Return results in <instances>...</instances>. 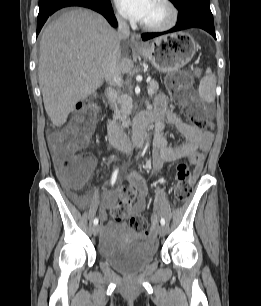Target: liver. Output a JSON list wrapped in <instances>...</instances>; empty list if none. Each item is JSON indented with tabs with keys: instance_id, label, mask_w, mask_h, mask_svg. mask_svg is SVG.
I'll return each instance as SVG.
<instances>
[{
	"instance_id": "liver-1",
	"label": "liver",
	"mask_w": 261,
	"mask_h": 306,
	"mask_svg": "<svg viewBox=\"0 0 261 306\" xmlns=\"http://www.w3.org/2000/svg\"><path fill=\"white\" fill-rule=\"evenodd\" d=\"M119 45L106 19L88 9H72L47 25L40 41L38 76L45 110L55 126H62L76 103L103 84L104 61ZM133 66L120 54L121 74H131Z\"/></svg>"
}]
</instances>
